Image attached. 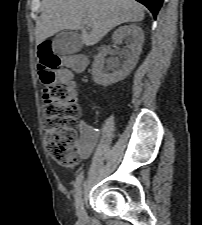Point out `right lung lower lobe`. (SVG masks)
<instances>
[{"label": "right lung lower lobe", "mask_w": 202, "mask_h": 225, "mask_svg": "<svg viewBox=\"0 0 202 225\" xmlns=\"http://www.w3.org/2000/svg\"><path fill=\"white\" fill-rule=\"evenodd\" d=\"M136 1L145 5L152 12L154 18H156L157 13L163 3V0H136Z\"/></svg>", "instance_id": "98d812e1"}]
</instances>
